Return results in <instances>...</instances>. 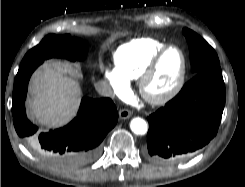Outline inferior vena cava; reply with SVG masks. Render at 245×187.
<instances>
[{"label":"inferior vena cava","instance_id":"obj_1","mask_svg":"<svg viewBox=\"0 0 245 187\" xmlns=\"http://www.w3.org/2000/svg\"><path fill=\"white\" fill-rule=\"evenodd\" d=\"M95 89L101 96L109 97L112 95V89L105 81H99L95 83Z\"/></svg>","mask_w":245,"mask_h":187}]
</instances>
